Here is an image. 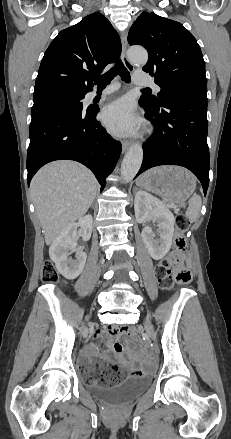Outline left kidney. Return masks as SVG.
I'll list each match as a JSON object with an SVG mask.
<instances>
[{"label": "left kidney", "mask_w": 231, "mask_h": 439, "mask_svg": "<svg viewBox=\"0 0 231 439\" xmlns=\"http://www.w3.org/2000/svg\"><path fill=\"white\" fill-rule=\"evenodd\" d=\"M135 217L143 223L148 217L158 222L159 240L154 239L152 228H143L142 240L154 260L162 259L170 250L174 234L175 218L171 211L156 197L145 191H138L134 201Z\"/></svg>", "instance_id": "left-kidney-1"}]
</instances>
